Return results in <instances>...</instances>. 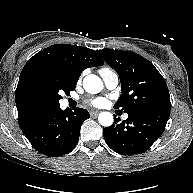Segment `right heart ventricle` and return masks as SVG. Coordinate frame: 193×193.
Masks as SVG:
<instances>
[{
  "label": "right heart ventricle",
  "instance_id": "right-heart-ventricle-1",
  "mask_svg": "<svg viewBox=\"0 0 193 193\" xmlns=\"http://www.w3.org/2000/svg\"><path fill=\"white\" fill-rule=\"evenodd\" d=\"M102 70H109V68H102L100 71H102Z\"/></svg>",
  "mask_w": 193,
  "mask_h": 193
}]
</instances>
